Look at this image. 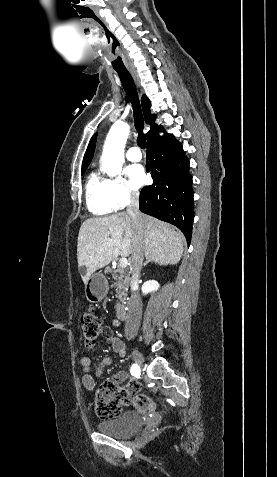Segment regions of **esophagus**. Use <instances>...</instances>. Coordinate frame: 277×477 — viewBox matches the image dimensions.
<instances>
[{
	"label": "esophagus",
	"instance_id": "esophagus-1",
	"mask_svg": "<svg viewBox=\"0 0 277 477\" xmlns=\"http://www.w3.org/2000/svg\"><path fill=\"white\" fill-rule=\"evenodd\" d=\"M131 75L134 78L136 84L139 86V79L137 73L135 71H131Z\"/></svg>",
	"mask_w": 277,
	"mask_h": 477
}]
</instances>
